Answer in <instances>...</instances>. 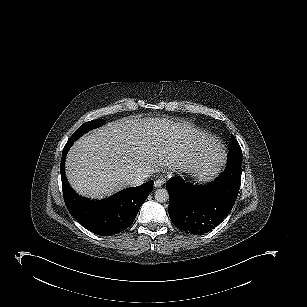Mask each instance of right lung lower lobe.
<instances>
[{
  "instance_id": "1",
  "label": "right lung lower lobe",
  "mask_w": 307,
  "mask_h": 307,
  "mask_svg": "<svg viewBox=\"0 0 307 307\" xmlns=\"http://www.w3.org/2000/svg\"><path fill=\"white\" fill-rule=\"evenodd\" d=\"M71 146H65L62 153L61 179L65 203L72 216L89 231L111 236L128 228L150 192L153 181L124 189L115 195L98 201L81 198L67 183L64 173L66 154Z\"/></svg>"
}]
</instances>
